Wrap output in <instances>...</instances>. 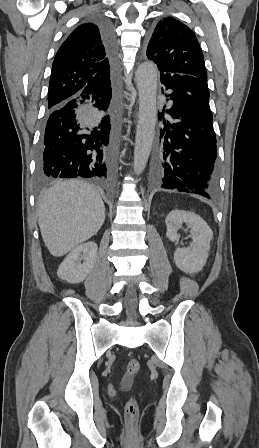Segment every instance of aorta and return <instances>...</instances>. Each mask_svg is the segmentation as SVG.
<instances>
[{
	"label": "aorta",
	"instance_id": "1",
	"mask_svg": "<svg viewBox=\"0 0 259 448\" xmlns=\"http://www.w3.org/2000/svg\"><path fill=\"white\" fill-rule=\"evenodd\" d=\"M157 81L156 65L151 62L139 65L136 71L139 111L133 162L134 172L137 175L141 174L146 167L154 140L157 116Z\"/></svg>",
	"mask_w": 259,
	"mask_h": 448
}]
</instances>
